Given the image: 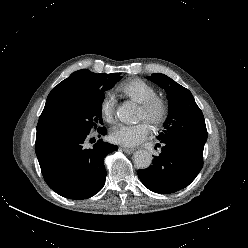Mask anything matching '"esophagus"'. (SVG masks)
Segmentation results:
<instances>
[{"label": "esophagus", "instance_id": "esophagus-1", "mask_svg": "<svg viewBox=\"0 0 248 248\" xmlns=\"http://www.w3.org/2000/svg\"><path fill=\"white\" fill-rule=\"evenodd\" d=\"M122 150L128 154H132L134 152V149L127 147H122Z\"/></svg>", "mask_w": 248, "mask_h": 248}]
</instances>
